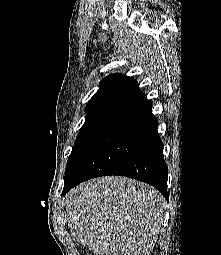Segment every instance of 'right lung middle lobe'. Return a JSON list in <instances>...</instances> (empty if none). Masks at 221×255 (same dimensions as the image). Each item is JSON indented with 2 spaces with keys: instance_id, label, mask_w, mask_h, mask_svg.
Segmentation results:
<instances>
[{
  "instance_id": "1",
  "label": "right lung middle lobe",
  "mask_w": 221,
  "mask_h": 255,
  "mask_svg": "<svg viewBox=\"0 0 221 255\" xmlns=\"http://www.w3.org/2000/svg\"><path fill=\"white\" fill-rule=\"evenodd\" d=\"M115 110L116 108H103L86 112L87 116L85 123L79 131L76 142L67 161L65 176L73 169L78 159Z\"/></svg>"
}]
</instances>
